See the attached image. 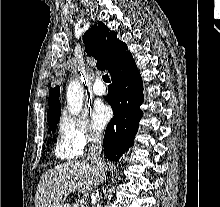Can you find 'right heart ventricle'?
I'll return each mask as SVG.
<instances>
[{
	"label": "right heart ventricle",
	"instance_id": "1",
	"mask_svg": "<svg viewBox=\"0 0 220 207\" xmlns=\"http://www.w3.org/2000/svg\"><path fill=\"white\" fill-rule=\"evenodd\" d=\"M54 152L61 160H73L81 155L79 152L65 146L61 141L55 144Z\"/></svg>",
	"mask_w": 220,
	"mask_h": 207
}]
</instances>
